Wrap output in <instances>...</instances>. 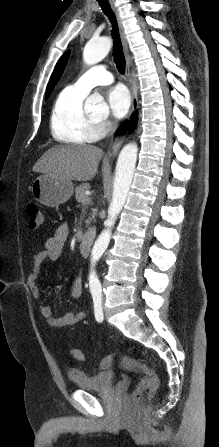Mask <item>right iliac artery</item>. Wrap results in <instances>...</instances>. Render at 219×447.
<instances>
[{
  "label": "right iliac artery",
  "mask_w": 219,
  "mask_h": 447,
  "mask_svg": "<svg viewBox=\"0 0 219 447\" xmlns=\"http://www.w3.org/2000/svg\"><path fill=\"white\" fill-rule=\"evenodd\" d=\"M93 302H94V313L95 318L98 322L103 321V309H102V298L100 293H92Z\"/></svg>",
  "instance_id": "1"
}]
</instances>
